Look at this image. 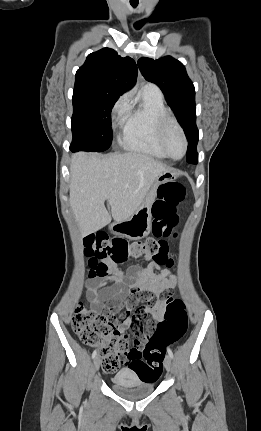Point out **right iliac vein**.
Listing matches in <instances>:
<instances>
[{
	"mask_svg": "<svg viewBox=\"0 0 261 431\" xmlns=\"http://www.w3.org/2000/svg\"><path fill=\"white\" fill-rule=\"evenodd\" d=\"M100 363H101L100 357L96 356L95 359H94V364H93L95 372H97L99 370Z\"/></svg>",
	"mask_w": 261,
	"mask_h": 431,
	"instance_id": "obj_1",
	"label": "right iliac vein"
}]
</instances>
